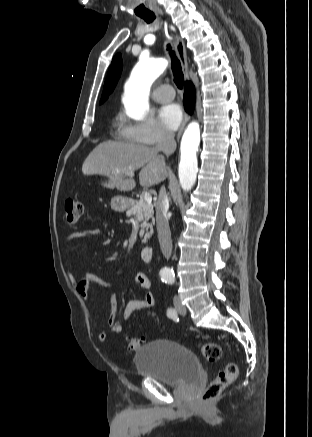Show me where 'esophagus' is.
<instances>
[{"label": "esophagus", "mask_w": 312, "mask_h": 437, "mask_svg": "<svg viewBox=\"0 0 312 437\" xmlns=\"http://www.w3.org/2000/svg\"><path fill=\"white\" fill-rule=\"evenodd\" d=\"M175 46H176L177 54H178V57H179V60L181 63V67H182V70L184 73L185 81H189L186 49H185V45H184L183 40L179 36H176ZM188 121H189V115L187 113H185L184 117H183V121L180 125L179 131L177 134V140L180 139V137L183 133V130H184Z\"/></svg>", "instance_id": "obj_1"}]
</instances>
